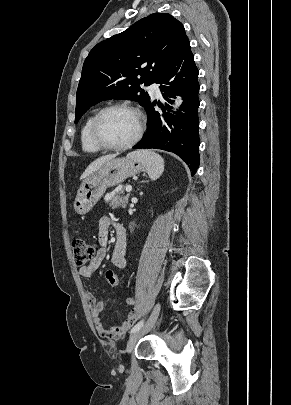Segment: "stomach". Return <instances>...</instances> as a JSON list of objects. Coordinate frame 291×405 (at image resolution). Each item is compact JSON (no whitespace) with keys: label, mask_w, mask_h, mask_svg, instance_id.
I'll return each instance as SVG.
<instances>
[{"label":"stomach","mask_w":291,"mask_h":405,"mask_svg":"<svg viewBox=\"0 0 291 405\" xmlns=\"http://www.w3.org/2000/svg\"><path fill=\"white\" fill-rule=\"evenodd\" d=\"M143 166L131 158H113L105 162L94 174L83 180L74 201L78 214L89 212L100 200L107 188L121 184L138 174Z\"/></svg>","instance_id":"0dacf381"}]
</instances>
